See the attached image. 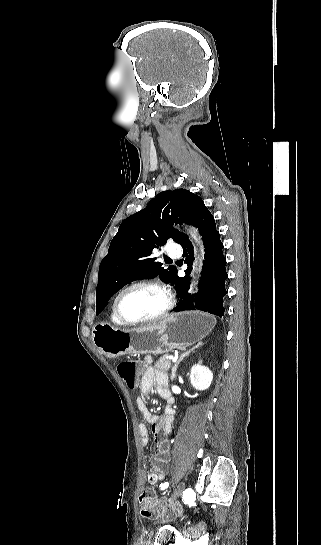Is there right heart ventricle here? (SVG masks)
<instances>
[{
	"label": "right heart ventricle",
	"instance_id": "e07e8e85",
	"mask_svg": "<svg viewBox=\"0 0 321 545\" xmlns=\"http://www.w3.org/2000/svg\"><path fill=\"white\" fill-rule=\"evenodd\" d=\"M114 301H112L111 303V306H110V322L112 325L116 326V327H121L122 324L118 321L117 317H116V314H115V310H114Z\"/></svg>",
	"mask_w": 321,
	"mask_h": 545
}]
</instances>
